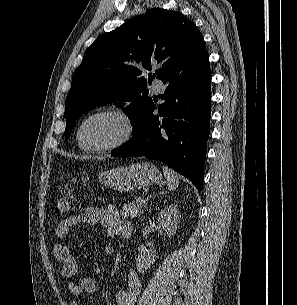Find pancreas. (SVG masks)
<instances>
[{
  "instance_id": "1",
  "label": "pancreas",
  "mask_w": 297,
  "mask_h": 305,
  "mask_svg": "<svg viewBox=\"0 0 297 305\" xmlns=\"http://www.w3.org/2000/svg\"><path fill=\"white\" fill-rule=\"evenodd\" d=\"M138 201H139V198L136 200V202L125 204L123 206L121 215L124 220H126L128 218H133L138 214V212L144 205V202L139 203Z\"/></svg>"
}]
</instances>
